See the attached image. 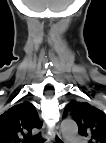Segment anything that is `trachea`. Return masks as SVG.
<instances>
[{
    "mask_svg": "<svg viewBox=\"0 0 106 143\" xmlns=\"http://www.w3.org/2000/svg\"><path fill=\"white\" fill-rule=\"evenodd\" d=\"M25 140L29 143H40L41 142V138L39 137V135L30 137V138H26Z\"/></svg>",
    "mask_w": 106,
    "mask_h": 143,
    "instance_id": "3493384b",
    "label": "trachea"
}]
</instances>
